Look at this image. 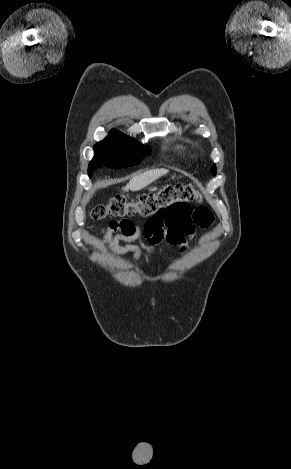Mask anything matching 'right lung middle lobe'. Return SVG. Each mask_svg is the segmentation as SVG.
Instances as JSON below:
<instances>
[{
  "label": "right lung middle lobe",
  "mask_w": 291,
  "mask_h": 469,
  "mask_svg": "<svg viewBox=\"0 0 291 469\" xmlns=\"http://www.w3.org/2000/svg\"><path fill=\"white\" fill-rule=\"evenodd\" d=\"M95 156L88 166L89 177L99 167L123 168L136 165L148 152L133 138L116 130L94 146Z\"/></svg>",
  "instance_id": "right-lung-middle-lobe-1"
}]
</instances>
